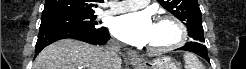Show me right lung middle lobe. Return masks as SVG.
Here are the masks:
<instances>
[{"instance_id": "1", "label": "right lung middle lobe", "mask_w": 246, "mask_h": 69, "mask_svg": "<svg viewBox=\"0 0 246 69\" xmlns=\"http://www.w3.org/2000/svg\"><path fill=\"white\" fill-rule=\"evenodd\" d=\"M96 16L92 14H58L41 19L40 29L44 28H78L82 30H98Z\"/></svg>"}]
</instances>
